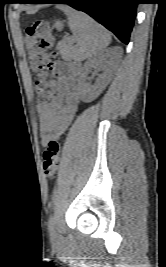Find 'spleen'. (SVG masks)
I'll return each mask as SVG.
<instances>
[{"label": "spleen", "instance_id": "obj_1", "mask_svg": "<svg viewBox=\"0 0 166 267\" xmlns=\"http://www.w3.org/2000/svg\"><path fill=\"white\" fill-rule=\"evenodd\" d=\"M60 9L66 13L76 38V45L71 48L74 60L82 61L93 57L110 44V34L90 16L68 6H60Z\"/></svg>", "mask_w": 166, "mask_h": 267}]
</instances>
